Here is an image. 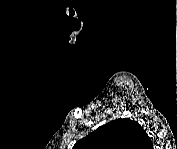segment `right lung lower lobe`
<instances>
[{
  "label": "right lung lower lobe",
  "mask_w": 177,
  "mask_h": 149,
  "mask_svg": "<svg viewBox=\"0 0 177 149\" xmlns=\"http://www.w3.org/2000/svg\"><path fill=\"white\" fill-rule=\"evenodd\" d=\"M143 143H146V146H148V147L152 145V142H151L149 136L144 138Z\"/></svg>",
  "instance_id": "98d812e1"
}]
</instances>
